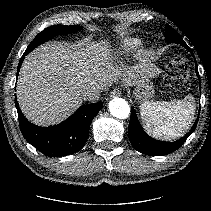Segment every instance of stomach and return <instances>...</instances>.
<instances>
[{
    "instance_id": "0dacf381",
    "label": "stomach",
    "mask_w": 211,
    "mask_h": 211,
    "mask_svg": "<svg viewBox=\"0 0 211 211\" xmlns=\"http://www.w3.org/2000/svg\"><path fill=\"white\" fill-rule=\"evenodd\" d=\"M153 68L147 66L145 71L137 78L134 86V96L136 100L145 101L154 94V86L152 83Z\"/></svg>"
}]
</instances>
